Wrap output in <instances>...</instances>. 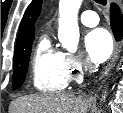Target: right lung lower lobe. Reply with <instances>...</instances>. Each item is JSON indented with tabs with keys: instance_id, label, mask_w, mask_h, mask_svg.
Instances as JSON below:
<instances>
[{
	"instance_id": "right-lung-lower-lobe-1",
	"label": "right lung lower lobe",
	"mask_w": 123,
	"mask_h": 113,
	"mask_svg": "<svg viewBox=\"0 0 123 113\" xmlns=\"http://www.w3.org/2000/svg\"><path fill=\"white\" fill-rule=\"evenodd\" d=\"M110 22L116 40H120L123 34V18L117 5L110 8Z\"/></svg>"
}]
</instances>
